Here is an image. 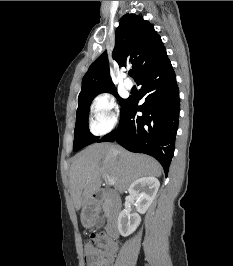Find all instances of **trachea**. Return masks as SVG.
<instances>
[{"instance_id":"3493384b","label":"trachea","mask_w":233,"mask_h":266,"mask_svg":"<svg viewBox=\"0 0 233 266\" xmlns=\"http://www.w3.org/2000/svg\"><path fill=\"white\" fill-rule=\"evenodd\" d=\"M129 75L132 77L133 76V71H129Z\"/></svg>"}]
</instances>
